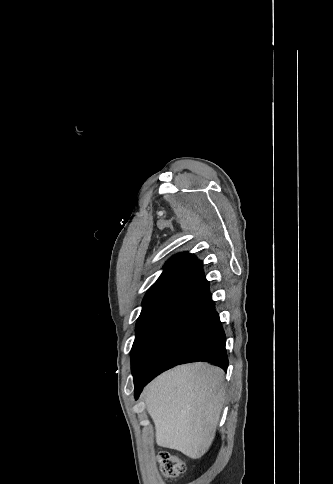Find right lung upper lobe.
Here are the masks:
<instances>
[{"label":"right lung upper lobe","instance_id":"cb5924a9","mask_svg":"<svg viewBox=\"0 0 333 484\" xmlns=\"http://www.w3.org/2000/svg\"><path fill=\"white\" fill-rule=\"evenodd\" d=\"M203 275L201 261L193 254L179 253L165 263L164 271L147 291L142 303H159Z\"/></svg>","mask_w":333,"mask_h":484}]
</instances>
